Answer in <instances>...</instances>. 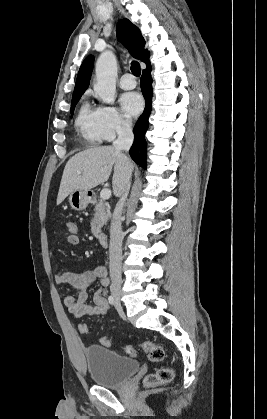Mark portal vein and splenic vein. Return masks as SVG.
<instances>
[{
	"instance_id": "obj_1",
	"label": "portal vein and splenic vein",
	"mask_w": 267,
	"mask_h": 419,
	"mask_svg": "<svg viewBox=\"0 0 267 419\" xmlns=\"http://www.w3.org/2000/svg\"><path fill=\"white\" fill-rule=\"evenodd\" d=\"M100 197H101V199H103V200H107V199H109V198L111 197V190H110V189H107V188L103 189V190L100 192Z\"/></svg>"
}]
</instances>
